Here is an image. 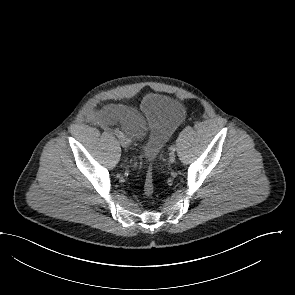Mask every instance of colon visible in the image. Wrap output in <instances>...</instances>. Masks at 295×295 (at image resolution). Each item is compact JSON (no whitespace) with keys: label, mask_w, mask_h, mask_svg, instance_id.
I'll use <instances>...</instances> for the list:
<instances>
[{"label":"colon","mask_w":295,"mask_h":295,"mask_svg":"<svg viewBox=\"0 0 295 295\" xmlns=\"http://www.w3.org/2000/svg\"><path fill=\"white\" fill-rule=\"evenodd\" d=\"M154 179H153V173L151 169H149L145 176L144 181V194L146 196H152L154 193Z\"/></svg>","instance_id":"colon-1"}]
</instances>
